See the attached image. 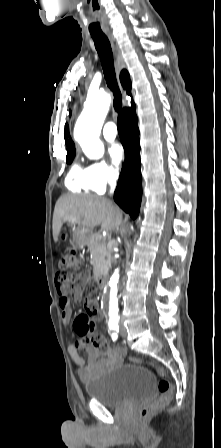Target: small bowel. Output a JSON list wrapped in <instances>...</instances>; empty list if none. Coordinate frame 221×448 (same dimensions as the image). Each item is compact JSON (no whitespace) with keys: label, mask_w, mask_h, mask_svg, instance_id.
I'll list each match as a JSON object with an SVG mask.
<instances>
[{"label":"small bowel","mask_w":221,"mask_h":448,"mask_svg":"<svg viewBox=\"0 0 221 448\" xmlns=\"http://www.w3.org/2000/svg\"><path fill=\"white\" fill-rule=\"evenodd\" d=\"M87 282L86 274L78 275L72 282L70 293L75 301H80ZM59 306L62 310V320L68 324L72 319V308L70 300L64 290L58 288ZM101 312L96 303L86 302V312L79 315L73 322L75 332L80 336L76 344L68 347L73 363L78 367L79 377L87 382L95 373L120 364L124 358L125 351L121 347L112 348L105 337L96 332L94 336L88 334L86 327L91 323L92 318H100ZM78 348L87 353V358H83Z\"/></svg>","instance_id":"1"}]
</instances>
